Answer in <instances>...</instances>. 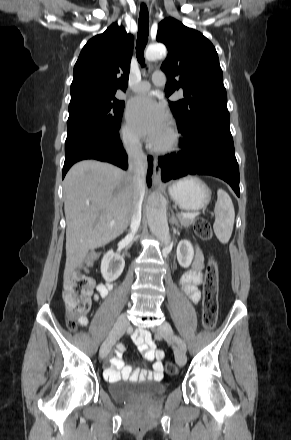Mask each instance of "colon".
<instances>
[{
  "label": "colon",
  "instance_id": "obj_1",
  "mask_svg": "<svg viewBox=\"0 0 291 440\" xmlns=\"http://www.w3.org/2000/svg\"><path fill=\"white\" fill-rule=\"evenodd\" d=\"M193 230L195 235L202 240L212 237L209 222L204 218H197ZM218 268L215 260L210 259L205 270L203 317L202 324L209 330L214 327L218 314ZM95 288L94 280L84 274H76L64 286L63 299L68 316L67 326L74 330L79 324V318L84 317L91 307V295ZM166 372L174 374L177 368L174 363H165Z\"/></svg>",
  "mask_w": 291,
  "mask_h": 440
}]
</instances>
